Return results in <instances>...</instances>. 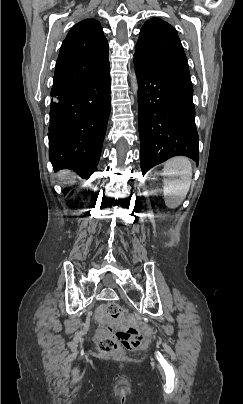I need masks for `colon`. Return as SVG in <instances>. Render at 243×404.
Returning a JSON list of instances; mask_svg holds the SVG:
<instances>
[{
    "instance_id": "1",
    "label": "colon",
    "mask_w": 243,
    "mask_h": 404,
    "mask_svg": "<svg viewBox=\"0 0 243 404\" xmlns=\"http://www.w3.org/2000/svg\"><path fill=\"white\" fill-rule=\"evenodd\" d=\"M106 313L118 320L124 314V309L117 303H110ZM146 340L137 327L129 326L119 330H101L98 335V348L105 354H114L122 349L136 351L143 348Z\"/></svg>"
}]
</instances>
